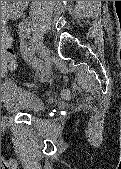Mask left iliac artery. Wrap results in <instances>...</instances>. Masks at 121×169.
Wrapping results in <instances>:
<instances>
[{
  "mask_svg": "<svg viewBox=\"0 0 121 169\" xmlns=\"http://www.w3.org/2000/svg\"><path fill=\"white\" fill-rule=\"evenodd\" d=\"M31 28L29 23H25L19 26V31L17 34V39H24V35L29 34ZM20 51H22V58L27 64H31V68L34 69V74H41L44 70V65L38 56H35V49L33 46H27V42H19Z\"/></svg>",
  "mask_w": 121,
  "mask_h": 169,
  "instance_id": "44dca946",
  "label": "left iliac artery"
}]
</instances>
